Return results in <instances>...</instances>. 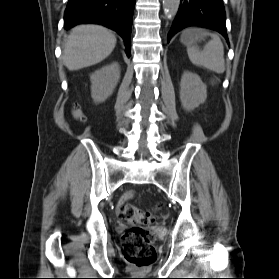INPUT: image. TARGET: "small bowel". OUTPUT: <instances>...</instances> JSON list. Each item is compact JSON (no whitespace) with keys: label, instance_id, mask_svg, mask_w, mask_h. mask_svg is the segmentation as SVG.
<instances>
[{"label":"small bowel","instance_id":"obj_1","mask_svg":"<svg viewBox=\"0 0 279 279\" xmlns=\"http://www.w3.org/2000/svg\"><path fill=\"white\" fill-rule=\"evenodd\" d=\"M133 197V193L132 192H127L125 193L121 198L120 200L118 201V204H117V208H119L122 204H124L127 200H129L130 198Z\"/></svg>","mask_w":279,"mask_h":279}]
</instances>
